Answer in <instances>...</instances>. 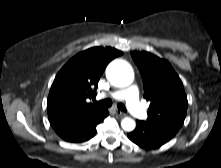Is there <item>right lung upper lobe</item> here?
Returning a JSON list of instances; mask_svg holds the SVG:
<instances>
[{"label":"right lung upper lobe","instance_id":"obj_1","mask_svg":"<svg viewBox=\"0 0 221 168\" xmlns=\"http://www.w3.org/2000/svg\"><path fill=\"white\" fill-rule=\"evenodd\" d=\"M123 52L111 47H93L71 58L58 72L51 86L47 110L51 126H69L91 119L105 108L88 103L107 64Z\"/></svg>","mask_w":221,"mask_h":168}]
</instances>
